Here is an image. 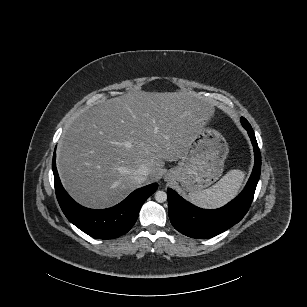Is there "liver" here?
<instances>
[{"mask_svg":"<svg viewBox=\"0 0 307 307\" xmlns=\"http://www.w3.org/2000/svg\"><path fill=\"white\" fill-rule=\"evenodd\" d=\"M214 111L207 97L186 92H126L81 113L57 153L63 187L79 205L107 209L137 189L133 173L150 167L147 182L163 175L165 160L187 151Z\"/></svg>","mask_w":307,"mask_h":307,"instance_id":"1","label":"liver"}]
</instances>
